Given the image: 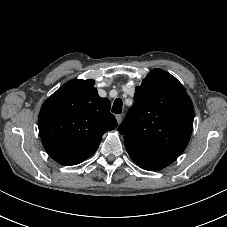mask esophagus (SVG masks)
I'll list each match as a JSON object with an SVG mask.
<instances>
[{
	"instance_id": "34e87169",
	"label": "esophagus",
	"mask_w": 227,
	"mask_h": 227,
	"mask_svg": "<svg viewBox=\"0 0 227 227\" xmlns=\"http://www.w3.org/2000/svg\"><path fill=\"white\" fill-rule=\"evenodd\" d=\"M122 119H123L122 114H117L116 115V120H117L118 124H120L122 122Z\"/></svg>"
}]
</instances>
